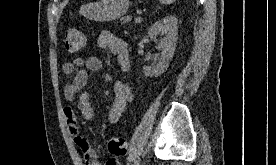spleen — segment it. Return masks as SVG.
<instances>
[{
  "label": "spleen",
  "mask_w": 276,
  "mask_h": 165,
  "mask_svg": "<svg viewBox=\"0 0 276 165\" xmlns=\"http://www.w3.org/2000/svg\"><path fill=\"white\" fill-rule=\"evenodd\" d=\"M159 1L162 4L169 5V4L173 3V2H175L176 0H159Z\"/></svg>",
  "instance_id": "obj_1"
}]
</instances>
